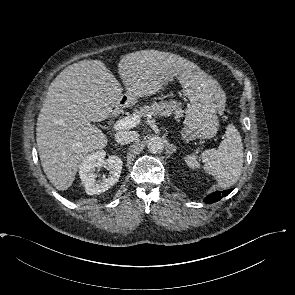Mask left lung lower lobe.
I'll return each instance as SVG.
<instances>
[{
    "label": "left lung lower lobe",
    "mask_w": 295,
    "mask_h": 295,
    "mask_svg": "<svg viewBox=\"0 0 295 295\" xmlns=\"http://www.w3.org/2000/svg\"><path fill=\"white\" fill-rule=\"evenodd\" d=\"M232 190H225V191H222V192H219V191H216L214 193H211L210 195H208L206 198H205V201L207 203H214V202H217L219 201L220 199H222L223 197L227 196Z\"/></svg>",
    "instance_id": "left-lung-lower-lobe-1"
}]
</instances>
